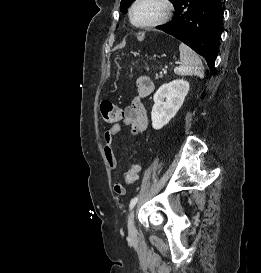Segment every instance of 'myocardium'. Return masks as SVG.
<instances>
[{
    "label": "myocardium",
    "instance_id": "myocardium-1",
    "mask_svg": "<svg viewBox=\"0 0 261 273\" xmlns=\"http://www.w3.org/2000/svg\"><path fill=\"white\" fill-rule=\"evenodd\" d=\"M144 1H147V0H135L129 9V12H128L129 21L133 27L137 29H149V28L162 25L170 19L173 12V4L171 0H155L157 3L161 5L160 14L155 19L147 23H143V24L136 23L134 20V11L136 7Z\"/></svg>",
    "mask_w": 261,
    "mask_h": 273
}]
</instances>
